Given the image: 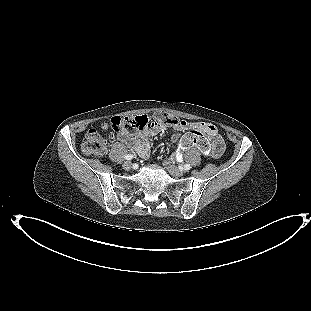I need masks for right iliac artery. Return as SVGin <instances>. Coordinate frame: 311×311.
Listing matches in <instances>:
<instances>
[{
  "label": "right iliac artery",
  "mask_w": 311,
  "mask_h": 311,
  "mask_svg": "<svg viewBox=\"0 0 311 311\" xmlns=\"http://www.w3.org/2000/svg\"><path fill=\"white\" fill-rule=\"evenodd\" d=\"M132 158H133V155H131V154H128V155L125 156L126 160H131Z\"/></svg>",
  "instance_id": "right-iliac-artery-1"
}]
</instances>
